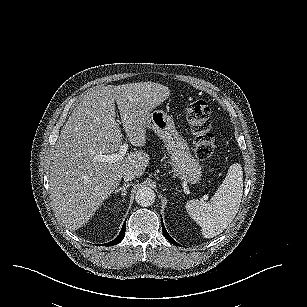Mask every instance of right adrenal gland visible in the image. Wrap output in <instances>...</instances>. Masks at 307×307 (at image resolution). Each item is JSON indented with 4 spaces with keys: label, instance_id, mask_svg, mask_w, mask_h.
I'll list each match as a JSON object with an SVG mask.
<instances>
[{
    "label": "right adrenal gland",
    "instance_id": "2a0ac1e0",
    "mask_svg": "<svg viewBox=\"0 0 307 307\" xmlns=\"http://www.w3.org/2000/svg\"><path fill=\"white\" fill-rule=\"evenodd\" d=\"M131 186H132V183L124 184L123 186L117 187V188L114 190V193H117V192H119V191H122V192H123V195H126L127 188H128V187H131Z\"/></svg>",
    "mask_w": 307,
    "mask_h": 307
}]
</instances>
